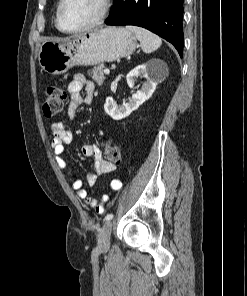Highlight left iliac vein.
<instances>
[{
  "instance_id": "4c4485c4",
  "label": "left iliac vein",
  "mask_w": 247,
  "mask_h": 296,
  "mask_svg": "<svg viewBox=\"0 0 247 296\" xmlns=\"http://www.w3.org/2000/svg\"><path fill=\"white\" fill-rule=\"evenodd\" d=\"M112 231V221H107L103 224L99 236H98V245L102 250H106L110 245V235Z\"/></svg>"
}]
</instances>
